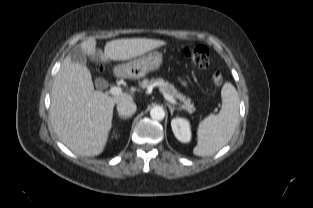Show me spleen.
<instances>
[{
	"mask_svg": "<svg viewBox=\"0 0 313 208\" xmlns=\"http://www.w3.org/2000/svg\"><path fill=\"white\" fill-rule=\"evenodd\" d=\"M222 107L217 115L210 114L199 123L196 156H210L223 148L232 138L239 119V96L236 88L224 83L221 90Z\"/></svg>",
	"mask_w": 313,
	"mask_h": 208,
	"instance_id": "3e777b00",
	"label": "spleen"
}]
</instances>
